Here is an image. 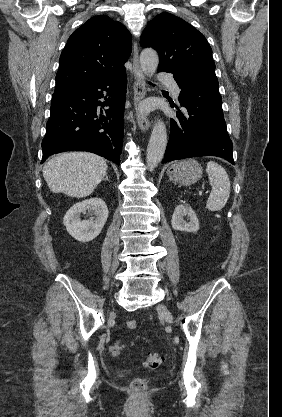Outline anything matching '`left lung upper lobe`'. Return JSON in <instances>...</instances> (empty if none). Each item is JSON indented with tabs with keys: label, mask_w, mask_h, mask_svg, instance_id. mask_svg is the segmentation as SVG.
<instances>
[{
	"label": "left lung upper lobe",
	"mask_w": 282,
	"mask_h": 417,
	"mask_svg": "<svg viewBox=\"0 0 282 417\" xmlns=\"http://www.w3.org/2000/svg\"><path fill=\"white\" fill-rule=\"evenodd\" d=\"M140 45L154 48L159 54L158 71L173 73L175 80L186 76L216 78L212 49L206 38L171 13L163 12L148 22Z\"/></svg>",
	"instance_id": "obj_1"
}]
</instances>
